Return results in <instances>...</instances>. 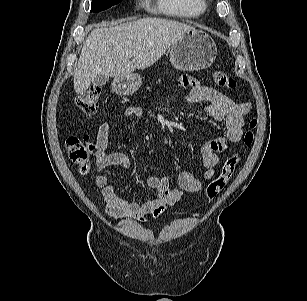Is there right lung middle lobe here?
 <instances>
[{"label": "right lung middle lobe", "instance_id": "right-lung-middle-lobe-1", "mask_svg": "<svg viewBox=\"0 0 307 301\" xmlns=\"http://www.w3.org/2000/svg\"><path fill=\"white\" fill-rule=\"evenodd\" d=\"M122 0H92L91 12H100L118 4Z\"/></svg>", "mask_w": 307, "mask_h": 301}]
</instances>
